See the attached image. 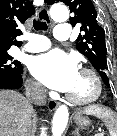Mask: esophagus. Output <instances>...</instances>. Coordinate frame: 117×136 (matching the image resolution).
Segmentation results:
<instances>
[{"label": "esophagus", "instance_id": "esophagus-1", "mask_svg": "<svg viewBox=\"0 0 117 136\" xmlns=\"http://www.w3.org/2000/svg\"><path fill=\"white\" fill-rule=\"evenodd\" d=\"M38 18L41 20V21H44L46 23H50L51 22V19H50V16H49V12H48V9L46 7H41L39 10H38ZM59 103L57 101H54V100H49L48 103H47V106L50 110H55L57 107H58Z\"/></svg>", "mask_w": 117, "mask_h": 136}]
</instances>
